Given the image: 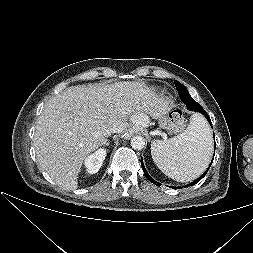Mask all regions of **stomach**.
<instances>
[{
	"mask_svg": "<svg viewBox=\"0 0 253 253\" xmlns=\"http://www.w3.org/2000/svg\"><path fill=\"white\" fill-rule=\"evenodd\" d=\"M167 120H168V115L167 114H162L160 116V122H159V128L160 129H165L166 128Z\"/></svg>",
	"mask_w": 253,
	"mask_h": 253,
	"instance_id": "obj_1",
	"label": "stomach"
}]
</instances>
